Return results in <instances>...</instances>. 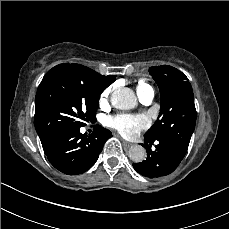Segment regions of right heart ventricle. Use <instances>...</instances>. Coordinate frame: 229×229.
I'll return each instance as SVG.
<instances>
[{
	"label": "right heart ventricle",
	"mask_w": 229,
	"mask_h": 229,
	"mask_svg": "<svg viewBox=\"0 0 229 229\" xmlns=\"http://www.w3.org/2000/svg\"><path fill=\"white\" fill-rule=\"evenodd\" d=\"M136 90L138 94H143L147 92L148 90H153V88L145 81L140 80L137 83Z\"/></svg>",
	"instance_id": "1"
}]
</instances>
